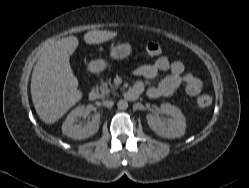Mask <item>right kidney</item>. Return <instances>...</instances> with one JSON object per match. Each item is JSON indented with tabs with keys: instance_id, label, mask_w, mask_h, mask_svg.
Listing matches in <instances>:
<instances>
[{
	"instance_id": "right-kidney-1",
	"label": "right kidney",
	"mask_w": 249,
	"mask_h": 188,
	"mask_svg": "<svg viewBox=\"0 0 249 188\" xmlns=\"http://www.w3.org/2000/svg\"><path fill=\"white\" fill-rule=\"evenodd\" d=\"M88 111L85 106H79L73 109L67 116L62 125V132L73 139H85L97 133L100 126V114H95L92 120L86 125L74 124L79 117L87 116Z\"/></svg>"
}]
</instances>
